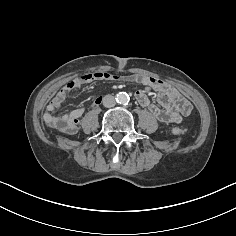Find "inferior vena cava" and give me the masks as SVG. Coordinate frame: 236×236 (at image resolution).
Listing matches in <instances>:
<instances>
[{
    "instance_id": "obj_1",
    "label": "inferior vena cava",
    "mask_w": 236,
    "mask_h": 236,
    "mask_svg": "<svg viewBox=\"0 0 236 236\" xmlns=\"http://www.w3.org/2000/svg\"><path fill=\"white\" fill-rule=\"evenodd\" d=\"M103 105L107 108L114 107L116 105L115 97L112 95L104 96Z\"/></svg>"
}]
</instances>
